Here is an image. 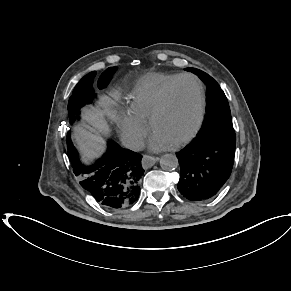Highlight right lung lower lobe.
I'll list each match as a JSON object with an SVG mask.
<instances>
[{
	"mask_svg": "<svg viewBox=\"0 0 291 291\" xmlns=\"http://www.w3.org/2000/svg\"><path fill=\"white\" fill-rule=\"evenodd\" d=\"M68 157L75 175L82 179L81 186L104 207L124 208L138 200L144 173L140 154L110 141L106 154L96 164L87 166L80 162L71 142Z\"/></svg>",
	"mask_w": 291,
	"mask_h": 291,
	"instance_id": "obj_1",
	"label": "right lung lower lobe"
}]
</instances>
